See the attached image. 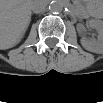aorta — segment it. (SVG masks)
I'll list each match as a JSON object with an SVG mask.
<instances>
[{
  "label": "aorta",
  "mask_w": 103,
  "mask_h": 103,
  "mask_svg": "<svg viewBox=\"0 0 103 103\" xmlns=\"http://www.w3.org/2000/svg\"><path fill=\"white\" fill-rule=\"evenodd\" d=\"M49 10L55 14L60 13L63 10V5L60 1L54 0L50 3Z\"/></svg>",
  "instance_id": "1"
}]
</instances>
